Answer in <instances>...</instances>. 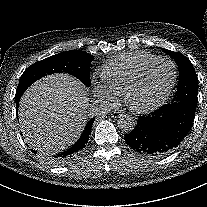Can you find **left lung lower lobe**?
I'll return each instance as SVG.
<instances>
[{"label": "left lung lower lobe", "instance_id": "0a47b994", "mask_svg": "<svg viewBox=\"0 0 207 207\" xmlns=\"http://www.w3.org/2000/svg\"><path fill=\"white\" fill-rule=\"evenodd\" d=\"M196 108L181 102L165 104L148 115L140 116L135 128L125 136L138 153L159 157L178 146L188 135Z\"/></svg>", "mask_w": 207, "mask_h": 207}]
</instances>
